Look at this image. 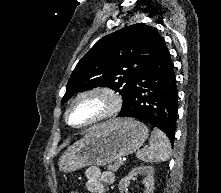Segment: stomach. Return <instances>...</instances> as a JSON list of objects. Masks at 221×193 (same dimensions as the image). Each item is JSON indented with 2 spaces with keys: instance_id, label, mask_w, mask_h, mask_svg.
Wrapping results in <instances>:
<instances>
[{
  "instance_id": "0dacf381",
  "label": "stomach",
  "mask_w": 221,
  "mask_h": 193,
  "mask_svg": "<svg viewBox=\"0 0 221 193\" xmlns=\"http://www.w3.org/2000/svg\"><path fill=\"white\" fill-rule=\"evenodd\" d=\"M96 125L59 158V169L73 172L90 165L103 166L129 155L148 138L147 126L133 119H115Z\"/></svg>"
}]
</instances>
